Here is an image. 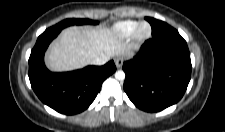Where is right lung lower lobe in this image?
<instances>
[{
    "label": "right lung lower lobe",
    "mask_w": 225,
    "mask_h": 132,
    "mask_svg": "<svg viewBox=\"0 0 225 132\" xmlns=\"http://www.w3.org/2000/svg\"><path fill=\"white\" fill-rule=\"evenodd\" d=\"M61 30L48 28L37 39L29 58V79L39 99L59 113L77 114L89 107L103 81L116 71L113 61L65 73H52L44 65V53Z\"/></svg>",
    "instance_id": "right-lung-lower-lobe-1"
}]
</instances>
